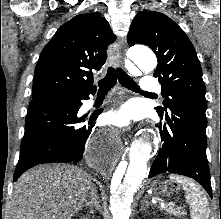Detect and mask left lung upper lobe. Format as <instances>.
<instances>
[{
    "mask_svg": "<svg viewBox=\"0 0 221 219\" xmlns=\"http://www.w3.org/2000/svg\"><path fill=\"white\" fill-rule=\"evenodd\" d=\"M128 43L149 46L158 58L154 76L162 85L164 108L159 116L174 106L195 110L203 115L207 109L205 84L196 51L183 30L166 15L150 10L138 13L128 33Z\"/></svg>",
    "mask_w": 221,
    "mask_h": 219,
    "instance_id": "5c2ea615",
    "label": "left lung upper lobe"
}]
</instances>
